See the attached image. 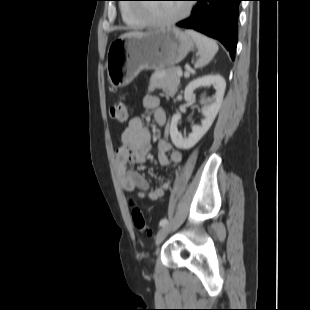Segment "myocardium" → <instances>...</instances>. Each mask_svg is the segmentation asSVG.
Returning <instances> with one entry per match:
<instances>
[{
	"instance_id": "obj_1",
	"label": "myocardium",
	"mask_w": 310,
	"mask_h": 310,
	"mask_svg": "<svg viewBox=\"0 0 310 310\" xmlns=\"http://www.w3.org/2000/svg\"><path fill=\"white\" fill-rule=\"evenodd\" d=\"M190 11H191V5L187 4L184 6L183 11L178 16L168 20H160L150 16L149 14L143 15L142 10L134 8L135 16H137L138 18H143L146 21L147 26L150 27H168L174 25L179 21H181L182 19H184L185 17H187Z\"/></svg>"
}]
</instances>
